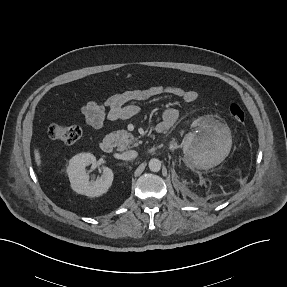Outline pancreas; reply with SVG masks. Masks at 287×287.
Wrapping results in <instances>:
<instances>
[{
  "label": "pancreas",
  "mask_w": 287,
  "mask_h": 287,
  "mask_svg": "<svg viewBox=\"0 0 287 287\" xmlns=\"http://www.w3.org/2000/svg\"><path fill=\"white\" fill-rule=\"evenodd\" d=\"M111 137L114 139L118 150L123 151L127 148H132L138 145L137 139L126 130H118L111 133Z\"/></svg>",
  "instance_id": "cf45deb5"
}]
</instances>
